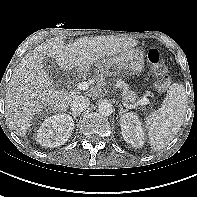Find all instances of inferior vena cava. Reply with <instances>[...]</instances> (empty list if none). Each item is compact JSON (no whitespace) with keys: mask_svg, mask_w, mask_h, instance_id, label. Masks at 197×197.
<instances>
[{"mask_svg":"<svg viewBox=\"0 0 197 197\" xmlns=\"http://www.w3.org/2000/svg\"><path fill=\"white\" fill-rule=\"evenodd\" d=\"M89 105V98L82 95L74 96L70 102L72 112L78 115H80L81 112L85 111L89 107Z\"/></svg>","mask_w":197,"mask_h":197,"instance_id":"obj_1","label":"inferior vena cava"}]
</instances>
